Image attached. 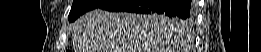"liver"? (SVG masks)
Returning a JSON list of instances; mask_svg holds the SVG:
<instances>
[{
  "mask_svg": "<svg viewBox=\"0 0 261 52\" xmlns=\"http://www.w3.org/2000/svg\"><path fill=\"white\" fill-rule=\"evenodd\" d=\"M163 16L95 9L76 21L73 33L79 52H175L185 26Z\"/></svg>",
  "mask_w": 261,
  "mask_h": 52,
  "instance_id": "liver-1",
  "label": "liver"
}]
</instances>
